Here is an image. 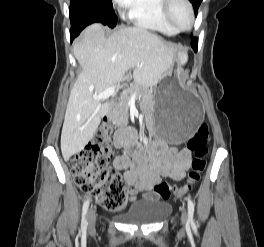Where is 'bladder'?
<instances>
[{
  "instance_id": "31cf9c89",
  "label": "bladder",
  "mask_w": 264,
  "mask_h": 247,
  "mask_svg": "<svg viewBox=\"0 0 264 247\" xmlns=\"http://www.w3.org/2000/svg\"><path fill=\"white\" fill-rule=\"evenodd\" d=\"M171 206L164 200H144L134 203L120 215V220L135 224H150L166 218Z\"/></svg>"
}]
</instances>
